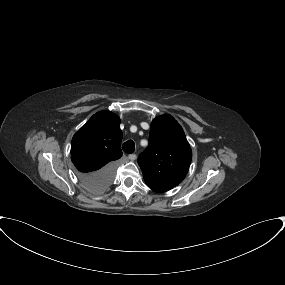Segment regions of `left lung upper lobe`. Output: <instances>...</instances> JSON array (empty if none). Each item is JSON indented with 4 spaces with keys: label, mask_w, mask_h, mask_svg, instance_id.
Listing matches in <instances>:
<instances>
[{
    "label": "left lung upper lobe",
    "mask_w": 285,
    "mask_h": 285,
    "mask_svg": "<svg viewBox=\"0 0 285 285\" xmlns=\"http://www.w3.org/2000/svg\"><path fill=\"white\" fill-rule=\"evenodd\" d=\"M192 151L181 125L170 115L155 118L150 126L149 145L138 157L146 185L166 192L185 178Z\"/></svg>",
    "instance_id": "left-lung-upper-lobe-1"
}]
</instances>
